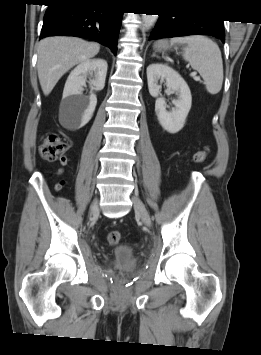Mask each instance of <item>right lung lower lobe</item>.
Here are the masks:
<instances>
[{
    "label": "right lung lower lobe",
    "instance_id": "1",
    "mask_svg": "<svg viewBox=\"0 0 261 355\" xmlns=\"http://www.w3.org/2000/svg\"><path fill=\"white\" fill-rule=\"evenodd\" d=\"M40 39L48 36L90 38L114 54L123 12L99 0H49Z\"/></svg>",
    "mask_w": 261,
    "mask_h": 355
}]
</instances>
